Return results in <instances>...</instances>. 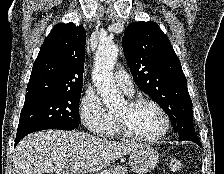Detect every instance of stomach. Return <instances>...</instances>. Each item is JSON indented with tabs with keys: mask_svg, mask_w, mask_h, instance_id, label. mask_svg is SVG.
Returning <instances> with one entry per match:
<instances>
[{
	"mask_svg": "<svg viewBox=\"0 0 224 174\" xmlns=\"http://www.w3.org/2000/svg\"><path fill=\"white\" fill-rule=\"evenodd\" d=\"M159 161V154L156 149L149 145H140L129 157L131 169L138 174H146L151 171Z\"/></svg>",
	"mask_w": 224,
	"mask_h": 174,
	"instance_id": "0dacf381",
	"label": "stomach"
}]
</instances>
